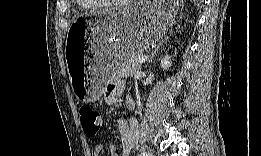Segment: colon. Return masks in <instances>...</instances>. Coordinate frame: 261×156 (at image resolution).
<instances>
[{"label": "colon", "mask_w": 261, "mask_h": 156, "mask_svg": "<svg viewBox=\"0 0 261 156\" xmlns=\"http://www.w3.org/2000/svg\"><path fill=\"white\" fill-rule=\"evenodd\" d=\"M79 117L84 133L89 138H94L101 127V115L90 106H82L79 109Z\"/></svg>", "instance_id": "obj_1"}]
</instances>
